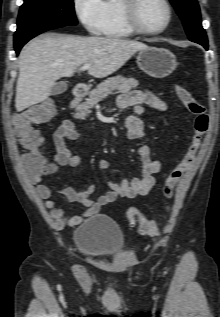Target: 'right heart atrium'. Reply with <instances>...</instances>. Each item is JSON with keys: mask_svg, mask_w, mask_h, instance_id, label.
<instances>
[{"mask_svg": "<svg viewBox=\"0 0 220 317\" xmlns=\"http://www.w3.org/2000/svg\"><path fill=\"white\" fill-rule=\"evenodd\" d=\"M73 10L79 22L92 34L99 33L102 0H73Z\"/></svg>", "mask_w": 220, "mask_h": 317, "instance_id": "obj_1", "label": "right heart atrium"}]
</instances>
